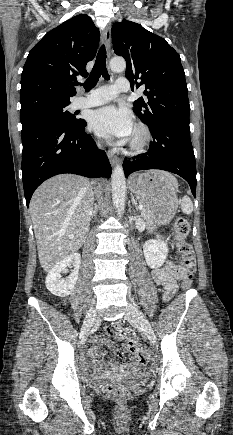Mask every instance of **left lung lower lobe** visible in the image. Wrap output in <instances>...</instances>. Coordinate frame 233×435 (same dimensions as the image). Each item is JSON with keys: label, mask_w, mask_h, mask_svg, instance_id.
I'll return each instance as SVG.
<instances>
[{"label": "left lung lower lobe", "mask_w": 233, "mask_h": 435, "mask_svg": "<svg viewBox=\"0 0 233 435\" xmlns=\"http://www.w3.org/2000/svg\"><path fill=\"white\" fill-rule=\"evenodd\" d=\"M153 141L148 152L137 160H124L125 176L138 170L161 169L184 178L192 194L196 192V163L189 123L167 124L150 129Z\"/></svg>", "instance_id": "1"}]
</instances>
